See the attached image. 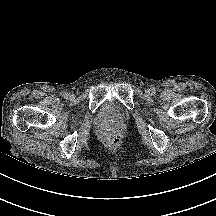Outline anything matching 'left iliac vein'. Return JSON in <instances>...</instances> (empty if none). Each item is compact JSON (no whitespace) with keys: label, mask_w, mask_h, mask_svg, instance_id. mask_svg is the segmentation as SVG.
I'll list each match as a JSON object with an SVG mask.
<instances>
[{"label":"left iliac vein","mask_w":216,"mask_h":216,"mask_svg":"<svg viewBox=\"0 0 216 216\" xmlns=\"http://www.w3.org/2000/svg\"><path fill=\"white\" fill-rule=\"evenodd\" d=\"M146 94H147V95H151V94H152V88L147 89V90H146Z\"/></svg>","instance_id":"obj_1"}]
</instances>
